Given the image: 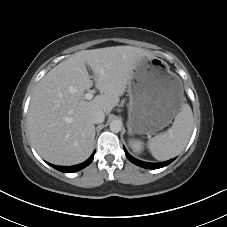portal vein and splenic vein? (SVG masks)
Listing matches in <instances>:
<instances>
[{"mask_svg": "<svg viewBox=\"0 0 227 227\" xmlns=\"http://www.w3.org/2000/svg\"><path fill=\"white\" fill-rule=\"evenodd\" d=\"M93 93H94V91H90V92L86 93L84 98L86 100H91L93 98Z\"/></svg>", "mask_w": 227, "mask_h": 227, "instance_id": "portal-vein-and-splenic-vein-1", "label": "portal vein and splenic vein"}]
</instances>
